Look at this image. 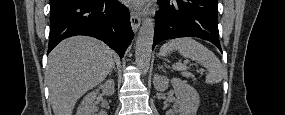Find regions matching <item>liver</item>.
Returning <instances> with one entry per match:
<instances>
[{
	"label": "liver",
	"mask_w": 285,
	"mask_h": 115,
	"mask_svg": "<svg viewBox=\"0 0 285 115\" xmlns=\"http://www.w3.org/2000/svg\"><path fill=\"white\" fill-rule=\"evenodd\" d=\"M113 63L111 48L95 38L60 42L48 56L45 75L54 115H72L78 99L107 77Z\"/></svg>",
	"instance_id": "1"
}]
</instances>
